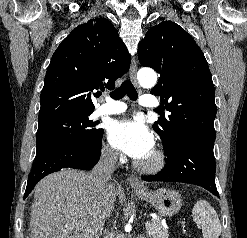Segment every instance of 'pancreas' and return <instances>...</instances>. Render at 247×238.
Segmentation results:
<instances>
[{"label":"pancreas","mask_w":247,"mask_h":238,"mask_svg":"<svg viewBox=\"0 0 247 238\" xmlns=\"http://www.w3.org/2000/svg\"><path fill=\"white\" fill-rule=\"evenodd\" d=\"M146 230L149 238L169 237L168 230L162 225V222L159 219H152L151 221H149V225L146 226Z\"/></svg>","instance_id":"1"}]
</instances>
